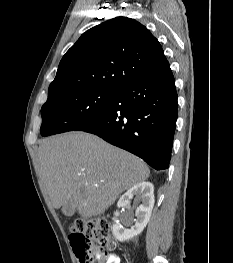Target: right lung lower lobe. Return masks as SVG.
Listing matches in <instances>:
<instances>
[{
	"mask_svg": "<svg viewBox=\"0 0 233 263\" xmlns=\"http://www.w3.org/2000/svg\"><path fill=\"white\" fill-rule=\"evenodd\" d=\"M177 92L171 69L119 88L99 115L77 126L123 148L151 167L167 169L177 120Z\"/></svg>",
	"mask_w": 233,
	"mask_h": 263,
	"instance_id": "98d812e1",
	"label": "right lung lower lobe"
}]
</instances>
